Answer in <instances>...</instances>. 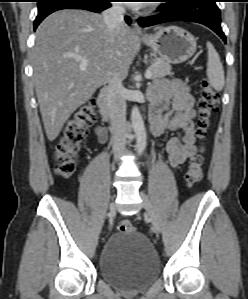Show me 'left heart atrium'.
I'll list each match as a JSON object with an SVG mask.
<instances>
[{"instance_id":"39dd6f15","label":"left heart atrium","mask_w":248,"mask_h":299,"mask_svg":"<svg viewBox=\"0 0 248 299\" xmlns=\"http://www.w3.org/2000/svg\"><path fill=\"white\" fill-rule=\"evenodd\" d=\"M141 1H145V0H135V1H131V4L132 6L134 7H140L142 6L145 2H141Z\"/></svg>"}]
</instances>
